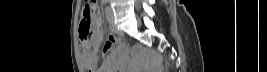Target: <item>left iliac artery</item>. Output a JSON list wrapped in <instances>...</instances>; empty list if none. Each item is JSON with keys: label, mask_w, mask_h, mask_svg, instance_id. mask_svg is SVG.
I'll return each mask as SVG.
<instances>
[{"label": "left iliac artery", "mask_w": 267, "mask_h": 72, "mask_svg": "<svg viewBox=\"0 0 267 72\" xmlns=\"http://www.w3.org/2000/svg\"><path fill=\"white\" fill-rule=\"evenodd\" d=\"M108 10H109V8L107 7V8H106V15H107V18H108Z\"/></svg>", "instance_id": "left-iliac-artery-1"}]
</instances>
